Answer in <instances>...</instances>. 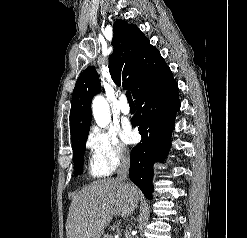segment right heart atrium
<instances>
[{"label":"right heart atrium","mask_w":247,"mask_h":238,"mask_svg":"<svg viewBox=\"0 0 247 238\" xmlns=\"http://www.w3.org/2000/svg\"><path fill=\"white\" fill-rule=\"evenodd\" d=\"M93 157L109 173L117 170L129 159L130 152L119 139L116 129L112 127L93 128L87 139Z\"/></svg>","instance_id":"d8ad5b80"}]
</instances>
